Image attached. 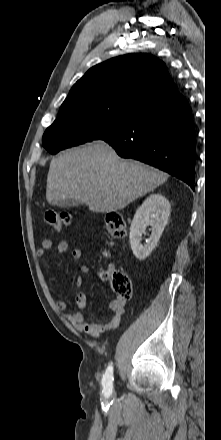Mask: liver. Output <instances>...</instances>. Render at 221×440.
Instances as JSON below:
<instances>
[{"instance_id":"obj_1","label":"liver","mask_w":221,"mask_h":440,"mask_svg":"<svg viewBox=\"0 0 221 440\" xmlns=\"http://www.w3.org/2000/svg\"><path fill=\"white\" fill-rule=\"evenodd\" d=\"M168 175L132 160H122L103 141L65 151L51 160L47 176L49 204L71 199L96 213L121 210L164 183Z\"/></svg>"}]
</instances>
